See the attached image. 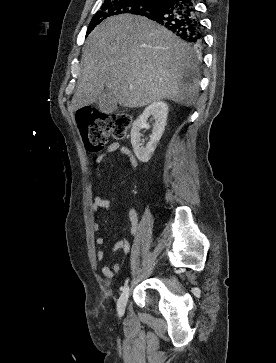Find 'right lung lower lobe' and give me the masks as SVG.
Wrapping results in <instances>:
<instances>
[{
    "label": "right lung lower lobe",
    "instance_id": "1",
    "mask_svg": "<svg viewBox=\"0 0 276 363\" xmlns=\"http://www.w3.org/2000/svg\"><path fill=\"white\" fill-rule=\"evenodd\" d=\"M139 15L166 27L195 49H202L203 36L194 0H159Z\"/></svg>",
    "mask_w": 276,
    "mask_h": 363
}]
</instances>
